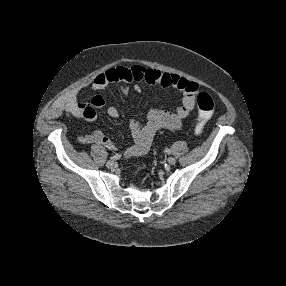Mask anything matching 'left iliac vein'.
<instances>
[{
  "instance_id": "1",
  "label": "left iliac vein",
  "mask_w": 286,
  "mask_h": 286,
  "mask_svg": "<svg viewBox=\"0 0 286 286\" xmlns=\"http://www.w3.org/2000/svg\"><path fill=\"white\" fill-rule=\"evenodd\" d=\"M168 163H169L170 165H174V164L176 163V159L173 158V157H169V158H168Z\"/></svg>"
}]
</instances>
